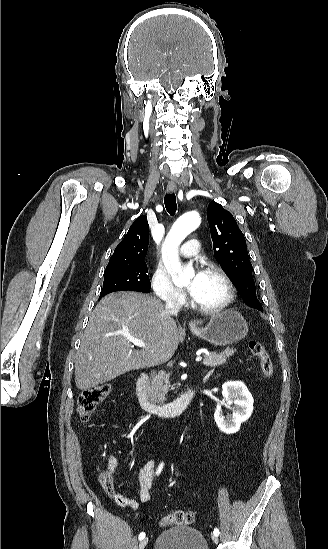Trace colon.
I'll return each instance as SVG.
<instances>
[{
  "instance_id": "1",
  "label": "colon",
  "mask_w": 328,
  "mask_h": 549,
  "mask_svg": "<svg viewBox=\"0 0 328 549\" xmlns=\"http://www.w3.org/2000/svg\"><path fill=\"white\" fill-rule=\"evenodd\" d=\"M251 354L260 362V368L265 378L272 377L274 373L273 362L265 348L258 341L249 342ZM112 386L109 383L99 384L85 389L78 398V413L83 422H87L97 406L104 401L111 393ZM100 484L108 494L112 488L110 476L104 472L100 475ZM194 521V514L188 510H175L167 514L161 521L163 526L189 525Z\"/></svg>"
}]
</instances>
